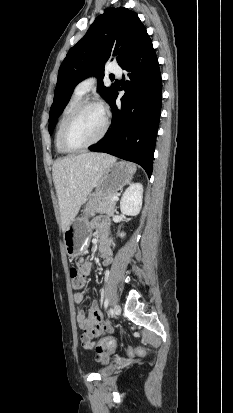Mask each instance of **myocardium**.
Returning a JSON list of instances; mask_svg holds the SVG:
<instances>
[{
  "instance_id": "obj_1",
  "label": "myocardium",
  "mask_w": 233,
  "mask_h": 413,
  "mask_svg": "<svg viewBox=\"0 0 233 413\" xmlns=\"http://www.w3.org/2000/svg\"><path fill=\"white\" fill-rule=\"evenodd\" d=\"M92 106H96V107H100V104L94 100H83L80 103H78L74 109L70 112V114L67 116V118L65 119L61 130H60V135H59V140H60V144L62 146V148L67 151V152H77V151H81L83 149H87L95 144H97L99 141H101L104 136L106 135L108 129H109V117L106 114L105 111H103L104 113V124H103V128L100 132V134L91 142L81 145V146H73L68 142L67 139V132L68 129L70 127V125L72 124V122L74 121V119L77 117V115L85 108L87 107H92Z\"/></svg>"
}]
</instances>
